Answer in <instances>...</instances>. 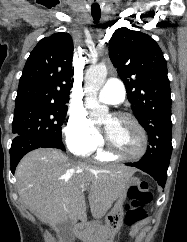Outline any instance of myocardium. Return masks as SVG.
<instances>
[{
	"label": "myocardium",
	"instance_id": "myocardium-1",
	"mask_svg": "<svg viewBox=\"0 0 187 242\" xmlns=\"http://www.w3.org/2000/svg\"><path fill=\"white\" fill-rule=\"evenodd\" d=\"M114 118L118 119V120H123V121H128L131 124H133L136 129L138 130V132L140 133L141 136V149L134 154H128V153H124L121 152L117 149H115L109 142V140L105 139V149L104 151L116 158V159H125V160H134V159H138L141 158L142 156H144L148 150V136H147V132L145 130V128L142 126V124L131 114L126 113V112H118L114 114Z\"/></svg>",
	"mask_w": 187,
	"mask_h": 242
}]
</instances>
